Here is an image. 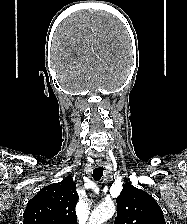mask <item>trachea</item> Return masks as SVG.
Instances as JSON below:
<instances>
[{"mask_svg": "<svg viewBox=\"0 0 187 224\" xmlns=\"http://www.w3.org/2000/svg\"><path fill=\"white\" fill-rule=\"evenodd\" d=\"M103 170L104 169H103L102 166L97 167V168H95L93 170V178H94V180L99 181L102 178V176H103Z\"/></svg>", "mask_w": 187, "mask_h": 224, "instance_id": "obj_1", "label": "trachea"}]
</instances>
